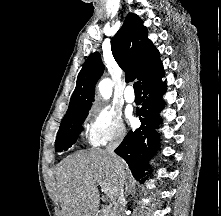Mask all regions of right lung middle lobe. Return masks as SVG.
I'll return each mask as SVG.
<instances>
[{"mask_svg":"<svg viewBox=\"0 0 221 216\" xmlns=\"http://www.w3.org/2000/svg\"><path fill=\"white\" fill-rule=\"evenodd\" d=\"M88 111L89 109L63 118L55 141L57 152L68 150L76 142Z\"/></svg>","mask_w":221,"mask_h":216,"instance_id":"dd1d6c3e","label":"right lung middle lobe"}]
</instances>
